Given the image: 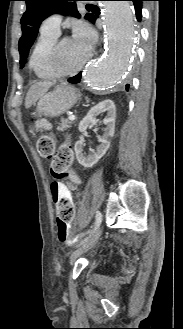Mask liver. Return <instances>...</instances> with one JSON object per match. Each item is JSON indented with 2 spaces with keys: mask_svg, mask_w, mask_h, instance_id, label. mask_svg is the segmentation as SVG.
<instances>
[{
  "mask_svg": "<svg viewBox=\"0 0 183 329\" xmlns=\"http://www.w3.org/2000/svg\"><path fill=\"white\" fill-rule=\"evenodd\" d=\"M52 85L53 83L49 81L37 82L32 85L25 98V108L28 109L36 103L37 100L46 94Z\"/></svg>",
  "mask_w": 183,
  "mask_h": 329,
  "instance_id": "liver-1",
  "label": "liver"
}]
</instances>
